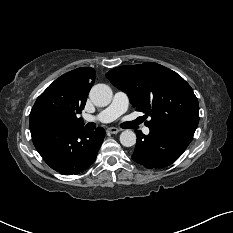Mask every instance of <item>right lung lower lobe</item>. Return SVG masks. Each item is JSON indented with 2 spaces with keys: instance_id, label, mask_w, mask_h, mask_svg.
Wrapping results in <instances>:
<instances>
[{
  "instance_id": "1",
  "label": "right lung lower lobe",
  "mask_w": 233,
  "mask_h": 233,
  "mask_svg": "<svg viewBox=\"0 0 233 233\" xmlns=\"http://www.w3.org/2000/svg\"><path fill=\"white\" fill-rule=\"evenodd\" d=\"M33 144L44 161L64 175L79 174L95 161L105 130L98 127L86 131L83 127L31 129Z\"/></svg>"
}]
</instances>
